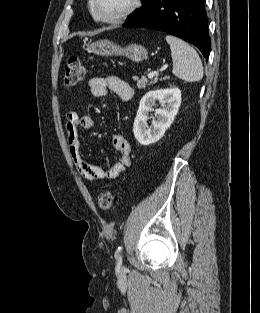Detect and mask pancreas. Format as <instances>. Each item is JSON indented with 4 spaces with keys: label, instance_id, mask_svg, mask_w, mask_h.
Instances as JSON below:
<instances>
[{
    "label": "pancreas",
    "instance_id": "pancreas-1",
    "mask_svg": "<svg viewBox=\"0 0 260 313\" xmlns=\"http://www.w3.org/2000/svg\"><path fill=\"white\" fill-rule=\"evenodd\" d=\"M133 79L134 81H136V85L138 89H145L148 85H152L157 82L156 78L150 82L148 81L146 77H142L141 79H139L138 77H134Z\"/></svg>",
    "mask_w": 260,
    "mask_h": 313
}]
</instances>
